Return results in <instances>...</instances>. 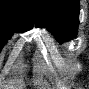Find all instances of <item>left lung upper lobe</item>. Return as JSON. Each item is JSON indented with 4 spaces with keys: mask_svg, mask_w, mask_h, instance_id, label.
<instances>
[{
    "mask_svg": "<svg viewBox=\"0 0 89 89\" xmlns=\"http://www.w3.org/2000/svg\"><path fill=\"white\" fill-rule=\"evenodd\" d=\"M36 27H46L57 41H67L77 34L78 0H32Z\"/></svg>",
    "mask_w": 89,
    "mask_h": 89,
    "instance_id": "1",
    "label": "left lung upper lobe"
}]
</instances>
